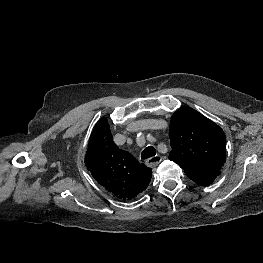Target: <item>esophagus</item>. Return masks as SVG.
<instances>
[{
	"mask_svg": "<svg viewBox=\"0 0 263 263\" xmlns=\"http://www.w3.org/2000/svg\"><path fill=\"white\" fill-rule=\"evenodd\" d=\"M162 161V157L160 155H155L153 157H150L146 160V165L148 167H155Z\"/></svg>",
	"mask_w": 263,
	"mask_h": 263,
	"instance_id": "34e87169",
	"label": "esophagus"
}]
</instances>
